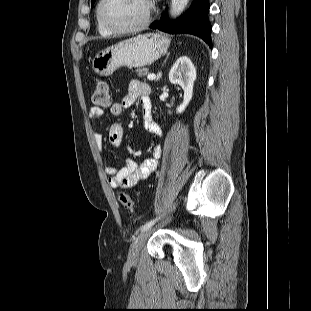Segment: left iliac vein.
Segmentation results:
<instances>
[{
	"label": "left iliac vein",
	"instance_id": "1",
	"mask_svg": "<svg viewBox=\"0 0 311 311\" xmlns=\"http://www.w3.org/2000/svg\"><path fill=\"white\" fill-rule=\"evenodd\" d=\"M170 221V219H167L165 222H163L162 225L167 224ZM152 229L149 228L145 231H143L137 238L136 240L132 243L129 253H128V260L132 263L137 262L139 259L140 252L145 245L148 237L152 233Z\"/></svg>",
	"mask_w": 311,
	"mask_h": 311
}]
</instances>
